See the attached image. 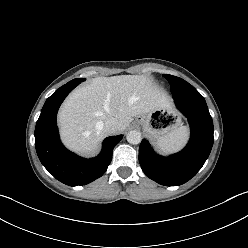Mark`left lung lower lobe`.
<instances>
[{
    "label": "left lung lower lobe",
    "mask_w": 248,
    "mask_h": 248,
    "mask_svg": "<svg viewBox=\"0 0 248 248\" xmlns=\"http://www.w3.org/2000/svg\"><path fill=\"white\" fill-rule=\"evenodd\" d=\"M173 99L190 124L191 137L187 146L169 157L157 155L146 140L139 147L142 170L165 186H178L194 177L207 160L214 140L212 118L202 95H174Z\"/></svg>",
    "instance_id": "1"
}]
</instances>
